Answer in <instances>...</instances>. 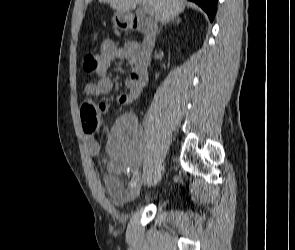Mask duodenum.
Masks as SVG:
<instances>
[{
	"label": "duodenum",
	"instance_id": "obj_1",
	"mask_svg": "<svg viewBox=\"0 0 295 250\" xmlns=\"http://www.w3.org/2000/svg\"><path fill=\"white\" fill-rule=\"evenodd\" d=\"M122 20L127 23L129 29L141 32L144 35L141 56L138 59L135 70L139 80L144 83L148 77L146 59L147 55L150 54L155 47L157 26L150 18L134 12H124Z\"/></svg>",
	"mask_w": 295,
	"mask_h": 250
}]
</instances>
